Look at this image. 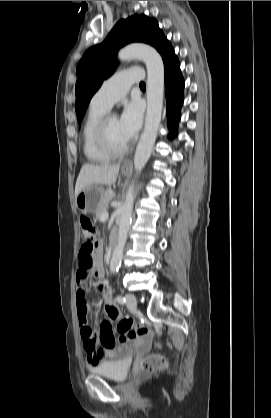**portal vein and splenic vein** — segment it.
<instances>
[{
  "mask_svg": "<svg viewBox=\"0 0 271 418\" xmlns=\"http://www.w3.org/2000/svg\"><path fill=\"white\" fill-rule=\"evenodd\" d=\"M109 217V214L106 212L102 217L101 221H105Z\"/></svg>",
  "mask_w": 271,
  "mask_h": 418,
  "instance_id": "obj_1",
  "label": "portal vein and splenic vein"
}]
</instances>
